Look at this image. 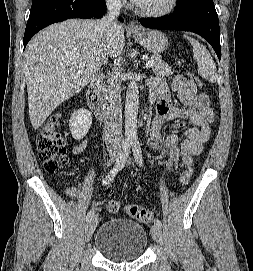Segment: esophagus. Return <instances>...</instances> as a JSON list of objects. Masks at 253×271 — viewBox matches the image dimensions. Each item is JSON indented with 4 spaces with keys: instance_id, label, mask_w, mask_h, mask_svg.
Wrapping results in <instances>:
<instances>
[{
    "instance_id": "obj_1",
    "label": "esophagus",
    "mask_w": 253,
    "mask_h": 271,
    "mask_svg": "<svg viewBox=\"0 0 253 271\" xmlns=\"http://www.w3.org/2000/svg\"><path fill=\"white\" fill-rule=\"evenodd\" d=\"M129 29L132 31V32H139V26L138 24L135 22V21H131L129 23Z\"/></svg>"
}]
</instances>
